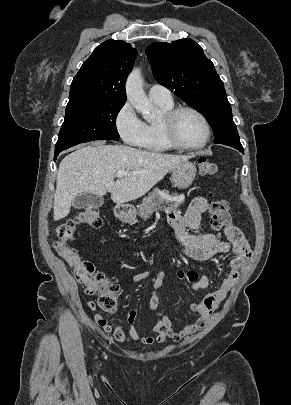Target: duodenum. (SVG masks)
Instances as JSON below:
<instances>
[{
    "label": "duodenum",
    "instance_id": "obj_1",
    "mask_svg": "<svg viewBox=\"0 0 291 405\" xmlns=\"http://www.w3.org/2000/svg\"><path fill=\"white\" fill-rule=\"evenodd\" d=\"M132 212V207L130 205H121L117 209V213L119 217L121 218H126L128 217Z\"/></svg>",
    "mask_w": 291,
    "mask_h": 405
}]
</instances>
